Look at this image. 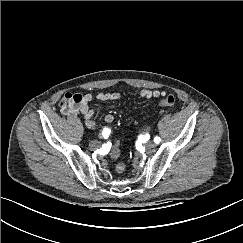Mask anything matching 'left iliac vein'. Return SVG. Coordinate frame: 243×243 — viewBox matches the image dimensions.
I'll list each match as a JSON object with an SVG mask.
<instances>
[{"mask_svg":"<svg viewBox=\"0 0 243 243\" xmlns=\"http://www.w3.org/2000/svg\"><path fill=\"white\" fill-rule=\"evenodd\" d=\"M156 147V144L154 143V142H148V143H146V145H145V148L147 149V150H153L154 148Z\"/></svg>","mask_w":243,"mask_h":243,"instance_id":"left-iliac-vein-1","label":"left iliac vein"}]
</instances>
